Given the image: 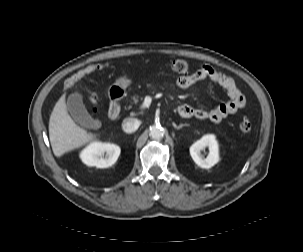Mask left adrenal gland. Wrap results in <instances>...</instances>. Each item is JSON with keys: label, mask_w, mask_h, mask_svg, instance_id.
<instances>
[{"label": "left adrenal gland", "mask_w": 303, "mask_h": 252, "mask_svg": "<svg viewBox=\"0 0 303 252\" xmlns=\"http://www.w3.org/2000/svg\"><path fill=\"white\" fill-rule=\"evenodd\" d=\"M184 126H188V124H180V125H176L175 123H173V127L175 128V129H180V128H182V127H184Z\"/></svg>", "instance_id": "a2214340"}]
</instances>
